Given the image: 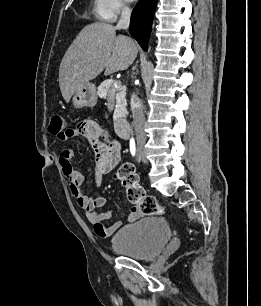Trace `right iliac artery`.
Returning a JSON list of instances; mask_svg holds the SVG:
<instances>
[{
  "label": "right iliac artery",
  "instance_id": "obj_1",
  "mask_svg": "<svg viewBox=\"0 0 261 306\" xmlns=\"http://www.w3.org/2000/svg\"><path fill=\"white\" fill-rule=\"evenodd\" d=\"M130 151H131V154L133 156H135V154H136V146H135V141H134L133 138L130 140Z\"/></svg>",
  "mask_w": 261,
  "mask_h": 306
}]
</instances>
